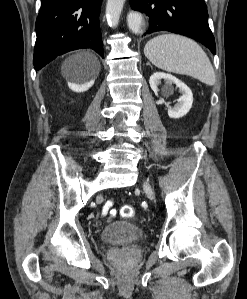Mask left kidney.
Instances as JSON below:
<instances>
[{"label": "left kidney", "instance_id": "5707ae66", "mask_svg": "<svg viewBox=\"0 0 247 299\" xmlns=\"http://www.w3.org/2000/svg\"><path fill=\"white\" fill-rule=\"evenodd\" d=\"M165 81V88L171 89L172 85L175 84L179 88V92L182 96L177 100L174 107L168 108V115L170 118L178 119L186 115L192 107L193 95L190 88L183 83L181 80L177 79L173 75L156 72L151 75L149 79L150 87L155 94L158 93V86L161 84V80Z\"/></svg>", "mask_w": 247, "mask_h": 299}]
</instances>
